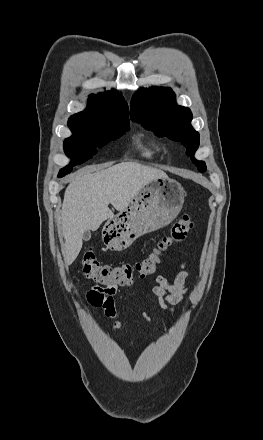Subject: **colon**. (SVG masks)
I'll list each match as a JSON object with an SVG mask.
<instances>
[{
    "instance_id": "5ec220e1",
    "label": "colon",
    "mask_w": 263,
    "mask_h": 440,
    "mask_svg": "<svg viewBox=\"0 0 263 440\" xmlns=\"http://www.w3.org/2000/svg\"><path fill=\"white\" fill-rule=\"evenodd\" d=\"M192 228V219L188 215H184L171 225L169 233L158 241L145 258L134 263L103 264L97 259L94 250L88 249L81 259L82 273L87 279L104 287L129 286L137 278L153 274L161 263V256L173 245L182 242Z\"/></svg>"
}]
</instances>
